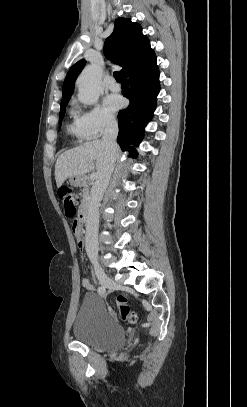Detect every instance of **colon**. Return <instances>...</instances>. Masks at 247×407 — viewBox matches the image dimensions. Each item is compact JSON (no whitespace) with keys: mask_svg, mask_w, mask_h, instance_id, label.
<instances>
[{"mask_svg":"<svg viewBox=\"0 0 247 407\" xmlns=\"http://www.w3.org/2000/svg\"><path fill=\"white\" fill-rule=\"evenodd\" d=\"M58 194L63 202L65 215L68 217H73L76 213L77 203L75 193L70 187L63 186L59 189ZM73 230L75 231V225L73 226ZM114 303L123 321L130 324H135L138 321V315L130 309L127 299L124 296L120 295L115 297Z\"/></svg>","mask_w":247,"mask_h":407,"instance_id":"5ec220e1","label":"colon"}]
</instances>
